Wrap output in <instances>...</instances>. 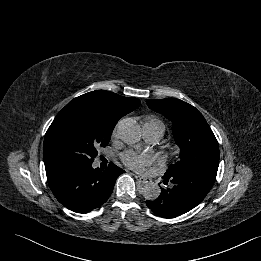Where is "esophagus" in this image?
<instances>
[{
    "label": "esophagus",
    "instance_id": "1",
    "mask_svg": "<svg viewBox=\"0 0 261 261\" xmlns=\"http://www.w3.org/2000/svg\"><path fill=\"white\" fill-rule=\"evenodd\" d=\"M135 178L139 183H142V184H146V183H149L151 181L149 178L139 176V175H135Z\"/></svg>",
    "mask_w": 261,
    "mask_h": 261
}]
</instances>
